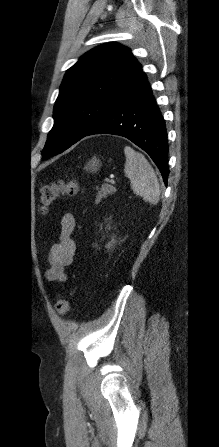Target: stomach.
Wrapping results in <instances>:
<instances>
[{"mask_svg":"<svg viewBox=\"0 0 219 447\" xmlns=\"http://www.w3.org/2000/svg\"><path fill=\"white\" fill-rule=\"evenodd\" d=\"M100 166V161L96 158H93L87 163L85 169L90 172H96L99 170Z\"/></svg>","mask_w":219,"mask_h":447,"instance_id":"stomach-1","label":"stomach"}]
</instances>
